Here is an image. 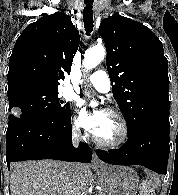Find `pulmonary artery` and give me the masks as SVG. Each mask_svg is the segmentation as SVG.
I'll use <instances>...</instances> for the list:
<instances>
[{
	"mask_svg": "<svg viewBox=\"0 0 178 195\" xmlns=\"http://www.w3.org/2000/svg\"><path fill=\"white\" fill-rule=\"evenodd\" d=\"M85 84H90L97 91L101 93H107L111 90V83L108 74L103 70H98L88 76Z\"/></svg>",
	"mask_w": 178,
	"mask_h": 195,
	"instance_id": "1",
	"label": "pulmonary artery"
}]
</instances>
